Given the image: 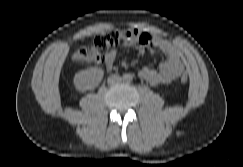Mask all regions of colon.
Returning <instances> with one entry per match:
<instances>
[{"label": "colon", "instance_id": "1", "mask_svg": "<svg viewBox=\"0 0 243 167\" xmlns=\"http://www.w3.org/2000/svg\"><path fill=\"white\" fill-rule=\"evenodd\" d=\"M129 37L126 30H109L96 35L93 46L79 49L74 55V62L77 64L100 65L103 62V53L123 44ZM188 75L180 77L182 83L188 82Z\"/></svg>", "mask_w": 243, "mask_h": 167}]
</instances>
